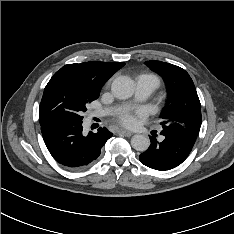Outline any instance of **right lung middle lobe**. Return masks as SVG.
<instances>
[{
  "label": "right lung middle lobe",
  "instance_id": "1",
  "mask_svg": "<svg viewBox=\"0 0 234 234\" xmlns=\"http://www.w3.org/2000/svg\"><path fill=\"white\" fill-rule=\"evenodd\" d=\"M98 96L99 91H90L65 79L52 77L41 100L40 124L56 119L82 121L87 105Z\"/></svg>",
  "mask_w": 234,
  "mask_h": 234
}]
</instances>
